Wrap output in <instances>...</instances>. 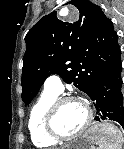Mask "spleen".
<instances>
[{
    "mask_svg": "<svg viewBox=\"0 0 124 149\" xmlns=\"http://www.w3.org/2000/svg\"><path fill=\"white\" fill-rule=\"evenodd\" d=\"M94 140L98 143V149H121L123 141L120 131L111 124H104L99 132L94 135Z\"/></svg>",
    "mask_w": 124,
    "mask_h": 149,
    "instance_id": "spleen-1",
    "label": "spleen"
}]
</instances>
